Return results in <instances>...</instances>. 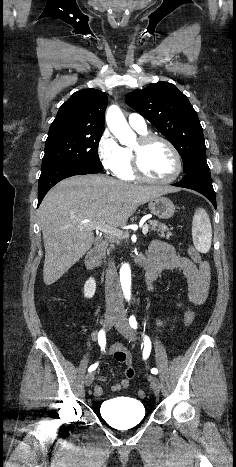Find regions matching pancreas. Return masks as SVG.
Wrapping results in <instances>:
<instances>
[{
  "mask_svg": "<svg viewBox=\"0 0 236 467\" xmlns=\"http://www.w3.org/2000/svg\"><path fill=\"white\" fill-rule=\"evenodd\" d=\"M149 224L151 226V230L154 232H159V236L161 238L169 239L172 233L169 231L168 227L165 224L159 223L156 220H150ZM166 232V234H165ZM117 244H119V240H114Z\"/></svg>",
  "mask_w": 236,
  "mask_h": 467,
  "instance_id": "pancreas-1",
  "label": "pancreas"
}]
</instances>
